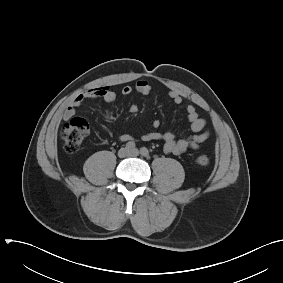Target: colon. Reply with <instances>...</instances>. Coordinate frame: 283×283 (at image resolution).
Here are the masks:
<instances>
[{
  "label": "colon",
  "mask_w": 283,
  "mask_h": 283,
  "mask_svg": "<svg viewBox=\"0 0 283 283\" xmlns=\"http://www.w3.org/2000/svg\"><path fill=\"white\" fill-rule=\"evenodd\" d=\"M89 125L86 120L75 117L62 126L60 136L63 141L64 148L68 152L78 150L86 137ZM195 163L200 167H206L210 163V158L206 154H199L195 158Z\"/></svg>",
  "instance_id": "5ec220e1"
}]
</instances>
